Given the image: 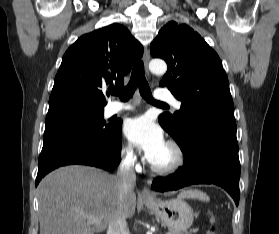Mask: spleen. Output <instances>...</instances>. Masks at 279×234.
I'll use <instances>...</instances> for the list:
<instances>
[{
    "instance_id": "obj_1",
    "label": "spleen",
    "mask_w": 279,
    "mask_h": 234,
    "mask_svg": "<svg viewBox=\"0 0 279 234\" xmlns=\"http://www.w3.org/2000/svg\"><path fill=\"white\" fill-rule=\"evenodd\" d=\"M180 198H192L199 199L201 201H209V197L206 193L199 190H189L181 193L179 195Z\"/></svg>"
}]
</instances>
